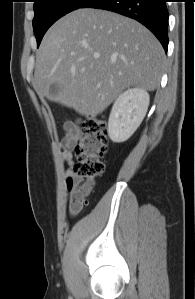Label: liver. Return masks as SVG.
I'll use <instances>...</instances> for the list:
<instances>
[{
  "mask_svg": "<svg viewBox=\"0 0 195 299\" xmlns=\"http://www.w3.org/2000/svg\"><path fill=\"white\" fill-rule=\"evenodd\" d=\"M166 57L139 22L106 10L77 9L54 23L36 57L41 97L86 117L102 113L126 88L156 89ZM53 83L60 91L52 96Z\"/></svg>",
  "mask_w": 195,
  "mask_h": 299,
  "instance_id": "1",
  "label": "liver"
}]
</instances>
